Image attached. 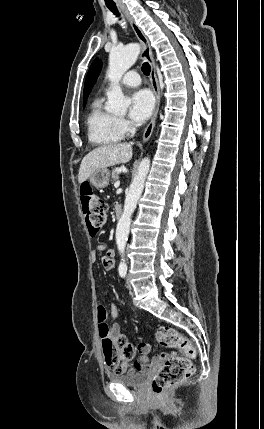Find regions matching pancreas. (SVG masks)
I'll use <instances>...</instances> for the list:
<instances>
[{
  "instance_id": "pancreas-1",
  "label": "pancreas",
  "mask_w": 264,
  "mask_h": 429,
  "mask_svg": "<svg viewBox=\"0 0 264 429\" xmlns=\"http://www.w3.org/2000/svg\"><path fill=\"white\" fill-rule=\"evenodd\" d=\"M118 179H119V172L115 169L112 172V180H113V182H116V181H118Z\"/></svg>"
}]
</instances>
